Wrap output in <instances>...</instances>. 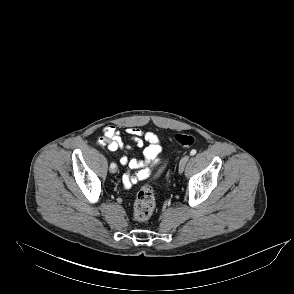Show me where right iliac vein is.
<instances>
[{
	"instance_id": "obj_1",
	"label": "right iliac vein",
	"mask_w": 294,
	"mask_h": 294,
	"mask_svg": "<svg viewBox=\"0 0 294 294\" xmlns=\"http://www.w3.org/2000/svg\"><path fill=\"white\" fill-rule=\"evenodd\" d=\"M117 167H110V172L111 173H116Z\"/></svg>"
}]
</instances>
